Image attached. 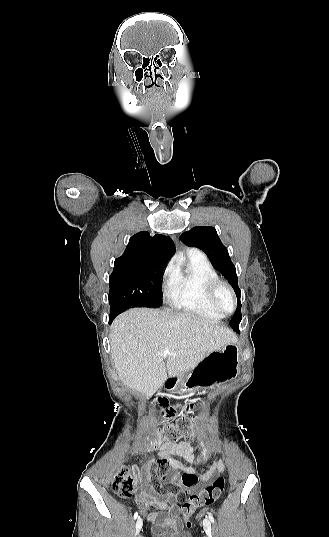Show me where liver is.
<instances>
[{
  "label": "liver",
  "instance_id": "1",
  "mask_svg": "<svg viewBox=\"0 0 329 537\" xmlns=\"http://www.w3.org/2000/svg\"><path fill=\"white\" fill-rule=\"evenodd\" d=\"M109 335L121 382L150 398L169 377L194 369L213 351L237 342L217 321L190 313L135 308L119 315ZM169 349L166 365L162 353Z\"/></svg>",
  "mask_w": 329,
  "mask_h": 537
}]
</instances>
